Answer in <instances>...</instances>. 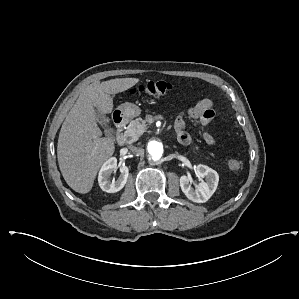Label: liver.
Masks as SVG:
<instances>
[{
  "label": "liver",
  "instance_id": "6515ba94",
  "mask_svg": "<svg viewBox=\"0 0 299 299\" xmlns=\"http://www.w3.org/2000/svg\"><path fill=\"white\" fill-rule=\"evenodd\" d=\"M139 81L116 78L93 82L82 91L66 116L59 133L57 158L64 180L74 191L90 192L100 167L115 150L112 138L101 137L97 111L111 113V95L124 92Z\"/></svg>",
  "mask_w": 299,
  "mask_h": 299
}]
</instances>
